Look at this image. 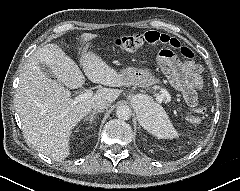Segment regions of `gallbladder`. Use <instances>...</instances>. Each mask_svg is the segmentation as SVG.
Masks as SVG:
<instances>
[{
    "label": "gallbladder",
    "mask_w": 240,
    "mask_h": 191,
    "mask_svg": "<svg viewBox=\"0 0 240 191\" xmlns=\"http://www.w3.org/2000/svg\"><path fill=\"white\" fill-rule=\"evenodd\" d=\"M42 71L50 78H55L52 71L45 64H40Z\"/></svg>",
    "instance_id": "1"
}]
</instances>
